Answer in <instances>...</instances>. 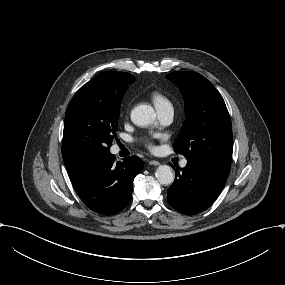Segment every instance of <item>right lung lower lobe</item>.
I'll list each match as a JSON object with an SVG mask.
<instances>
[{
  "instance_id": "obj_1",
  "label": "right lung lower lobe",
  "mask_w": 285,
  "mask_h": 285,
  "mask_svg": "<svg viewBox=\"0 0 285 285\" xmlns=\"http://www.w3.org/2000/svg\"><path fill=\"white\" fill-rule=\"evenodd\" d=\"M143 165V161L136 156L115 163V156L110 154L82 169L71 181L89 209L99 214L112 215L130 202L133 180Z\"/></svg>"
}]
</instances>
